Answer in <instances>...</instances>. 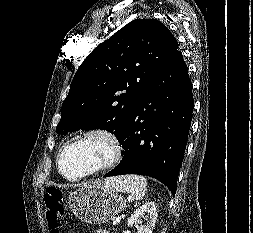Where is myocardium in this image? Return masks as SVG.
<instances>
[{
	"label": "myocardium",
	"mask_w": 253,
	"mask_h": 233,
	"mask_svg": "<svg viewBox=\"0 0 253 233\" xmlns=\"http://www.w3.org/2000/svg\"><path fill=\"white\" fill-rule=\"evenodd\" d=\"M94 138L104 140L109 144L110 155L108 159L104 163L98 165L94 169L84 174L74 176V177H71L65 174L64 171L62 170V157H63V154L66 152V150L75 143H78L84 140L94 139ZM122 154H123L122 143L119 137L113 131L106 128H92L78 135H75L74 137L69 139L58 152L56 164H57V169H58L59 174L65 180L70 181V182H76V181L83 180L85 178L98 174L102 171L109 170L115 167L121 160Z\"/></svg>",
	"instance_id": "1"
}]
</instances>
